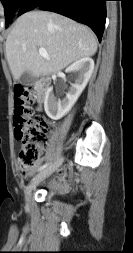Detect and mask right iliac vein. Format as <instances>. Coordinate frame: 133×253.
Masks as SVG:
<instances>
[{
	"instance_id": "1",
	"label": "right iliac vein",
	"mask_w": 133,
	"mask_h": 253,
	"mask_svg": "<svg viewBox=\"0 0 133 253\" xmlns=\"http://www.w3.org/2000/svg\"><path fill=\"white\" fill-rule=\"evenodd\" d=\"M64 158L60 157L58 158L53 165L46 168L44 171L39 173L36 177L33 178V180L28 184V186L25 189V200L26 204L29 205L30 203V197L33 189L45 178L53 174L63 163Z\"/></svg>"
}]
</instances>
